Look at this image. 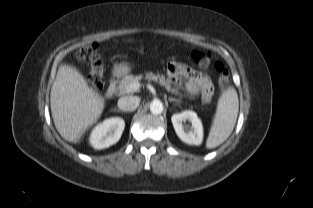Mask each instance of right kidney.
Wrapping results in <instances>:
<instances>
[{
	"mask_svg": "<svg viewBox=\"0 0 313 208\" xmlns=\"http://www.w3.org/2000/svg\"><path fill=\"white\" fill-rule=\"evenodd\" d=\"M124 127L125 122L122 118L106 119L92 130L90 144L98 150L108 148L119 141Z\"/></svg>",
	"mask_w": 313,
	"mask_h": 208,
	"instance_id": "right-kidney-1",
	"label": "right kidney"
}]
</instances>
